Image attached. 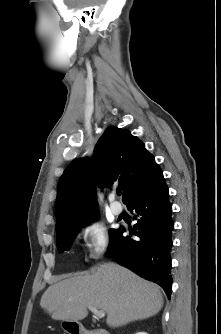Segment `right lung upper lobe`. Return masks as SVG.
I'll list each match as a JSON object with an SVG mask.
<instances>
[{
  "instance_id": "1",
  "label": "right lung upper lobe",
  "mask_w": 221,
  "mask_h": 334,
  "mask_svg": "<svg viewBox=\"0 0 221 334\" xmlns=\"http://www.w3.org/2000/svg\"><path fill=\"white\" fill-rule=\"evenodd\" d=\"M162 171L144 143L128 130L108 127L98 140L90 164L87 159L72 161L65 169L58 185L56 199V232L88 222L94 211L87 204L95 185L110 187L119 184L123 202L127 204L139 192L150 186Z\"/></svg>"
}]
</instances>
